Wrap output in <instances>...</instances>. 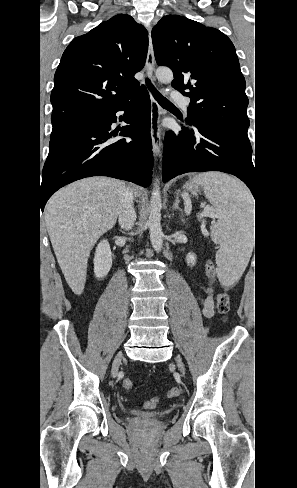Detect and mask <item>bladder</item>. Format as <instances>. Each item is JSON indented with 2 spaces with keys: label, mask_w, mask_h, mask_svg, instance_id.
Instances as JSON below:
<instances>
[{
  "label": "bladder",
  "mask_w": 297,
  "mask_h": 488,
  "mask_svg": "<svg viewBox=\"0 0 297 488\" xmlns=\"http://www.w3.org/2000/svg\"><path fill=\"white\" fill-rule=\"evenodd\" d=\"M129 414L133 417H138V418H141L144 420L163 417L162 412L141 413V412H137V411H131V412H129Z\"/></svg>",
  "instance_id": "31cf9c89"
}]
</instances>
